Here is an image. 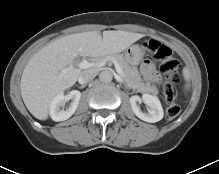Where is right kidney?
<instances>
[{
    "label": "right kidney",
    "mask_w": 219,
    "mask_h": 174,
    "mask_svg": "<svg viewBox=\"0 0 219 174\" xmlns=\"http://www.w3.org/2000/svg\"><path fill=\"white\" fill-rule=\"evenodd\" d=\"M81 98V93L78 90H72L67 95L63 93L58 94L51 102L49 113L52 120L64 121L69 119L76 111L79 101ZM71 100L69 107L64 109L65 103Z\"/></svg>",
    "instance_id": "obj_1"
}]
</instances>
